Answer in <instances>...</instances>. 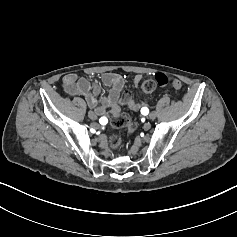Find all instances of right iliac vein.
Here are the masks:
<instances>
[{
    "label": "right iliac vein",
    "mask_w": 237,
    "mask_h": 237,
    "mask_svg": "<svg viewBox=\"0 0 237 237\" xmlns=\"http://www.w3.org/2000/svg\"><path fill=\"white\" fill-rule=\"evenodd\" d=\"M88 116L92 120H96L97 119V114L94 111H89L88 112Z\"/></svg>",
    "instance_id": "obj_1"
}]
</instances>
